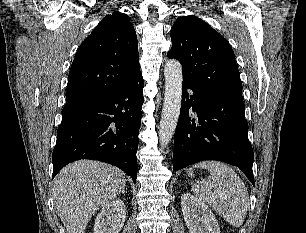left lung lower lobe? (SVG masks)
I'll return each instance as SVG.
<instances>
[{
	"label": "left lung lower lobe",
	"instance_id": "1",
	"mask_svg": "<svg viewBox=\"0 0 306 233\" xmlns=\"http://www.w3.org/2000/svg\"><path fill=\"white\" fill-rule=\"evenodd\" d=\"M188 90L192 93L189 94ZM242 93L200 85L183 78L182 104L177 124L173 170L202 160L237 166L254 184V153L248 140ZM197 113L191 119L189 111Z\"/></svg>",
	"mask_w": 306,
	"mask_h": 233
}]
</instances>
